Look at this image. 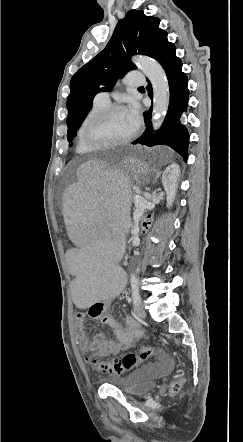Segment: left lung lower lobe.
I'll return each mask as SVG.
<instances>
[{
  "label": "left lung lower lobe",
  "mask_w": 243,
  "mask_h": 442,
  "mask_svg": "<svg viewBox=\"0 0 243 442\" xmlns=\"http://www.w3.org/2000/svg\"><path fill=\"white\" fill-rule=\"evenodd\" d=\"M154 59L162 65L169 81L170 100L168 112L161 128L156 133H153L151 125L152 107H150L144 116L146 124L145 132L141 137L132 142V144L139 143L149 147L168 145L182 155L186 162L188 157L189 134L183 124L182 116L186 112L189 97L187 76L182 72V63L180 58L176 56L175 45L169 42L167 38L161 42L154 55ZM146 89L152 98L153 91L150 82H148Z\"/></svg>",
  "instance_id": "obj_1"
}]
</instances>
